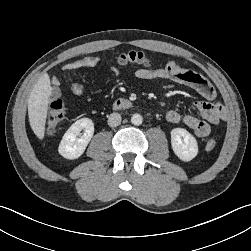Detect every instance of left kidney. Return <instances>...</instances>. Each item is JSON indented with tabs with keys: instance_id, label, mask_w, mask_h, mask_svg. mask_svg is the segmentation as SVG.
<instances>
[{
	"instance_id": "left-kidney-1",
	"label": "left kidney",
	"mask_w": 251,
	"mask_h": 251,
	"mask_svg": "<svg viewBox=\"0 0 251 251\" xmlns=\"http://www.w3.org/2000/svg\"><path fill=\"white\" fill-rule=\"evenodd\" d=\"M170 134L172 149L180 160L188 162L197 156V141L186 129L174 128Z\"/></svg>"
}]
</instances>
